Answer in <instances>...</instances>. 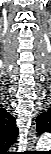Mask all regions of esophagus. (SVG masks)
<instances>
[{
    "instance_id": "34e87169",
    "label": "esophagus",
    "mask_w": 51,
    "mask_h": 154,
    "mask_svg": "<svg viewBox=\"0 0 51 154\" xmlns=\"http://www.w3.org/2000/svg\"><path fill=\"white\" fill-rule=\"evenodd\" d=\"M30 136L32 137V141L34 142L33 139H34L35 137H34V135H33L31 132H30Z\"/></svg>"
}]
</instances>
